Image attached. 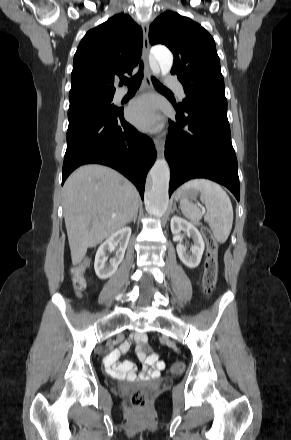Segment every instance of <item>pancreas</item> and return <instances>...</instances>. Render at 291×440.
Returning <instances> with one entry per match:
<instances>
[{
    "instance_id": "obj_1",
    "label": "pancreas",
    "mask_w": 291,
    "mask_h": 440,
    "mask_svg": "<svg viewBox=\"0 0 291 440\" xmlns=\"http://www.w3.org/2000/svg\"><path fill=\"white\" fill-rule=\"evenodd\" d=\"M195 224H196V225H201V223H200V222H195Z\"/></svg>"
}]
</instances>
